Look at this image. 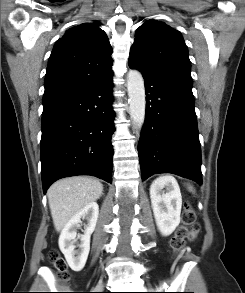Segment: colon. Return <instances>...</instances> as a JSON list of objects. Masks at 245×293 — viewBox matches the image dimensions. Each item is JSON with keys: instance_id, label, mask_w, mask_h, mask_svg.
Here are the masks:
<instances>
[{"instance_id": "1", "label": "colon", "mask_w": 245, "mask_h": 293, "mask_svg": "<svg viewBox=\"0 0 245 293\" xmlns=\"http://www.w3.org/2000/svg\"><path fill=\"white\" fill-rule=\"evenodd\" d=\"M182 219V225L176 229L171 240V246L177 253L181 252L186 240H194L197 237L200 229L199 224L195 221L194 211L188 202L184 203ZM48 256L53 265L59 268L60 280L67 282L69 275L64 269L65 261L60 257L58 251L52 250L48 253Z\"/></svg>"}]
</instances>
